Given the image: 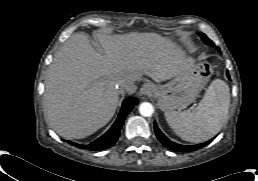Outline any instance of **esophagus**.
<instances>
[{
    "label": "esophagus",
    "instance_id": "esophagus-1",
    "mask_svg": "<svg viewBox=\"0 0 258 181\" xmlns=\"http://www.w3.org/2000/svg\"><path fill=\"white\" fill-rule=\"evenodd\" d=\"M154 90V86L151 83H145L142 85V87L140 88V96L142 98L149 96Z\"/></svg>",
    "mask_w": 258,
    "mask_h": 181
}]
</instances>
